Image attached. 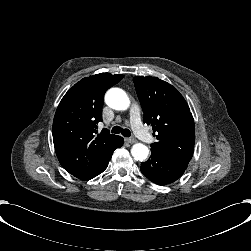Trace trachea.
Listing matches in <instances>:
<instances>
[{"label": "trachea", "instance_id": "obj_1", "mask_svg": "<svg viewBox=\"0 0 251 251\" xmlns=\"http://www.w3.org/2000/svg\"><path fill=\"white\" fill-rule=\"evenodd\" d=\"M112 133L118 134L121 133L124 137H130L131 132L129 129L122 128L121 126H114L112 128Z\"/></svg>", "mask_w": 251, "mask_h": 251}]
</instances>
